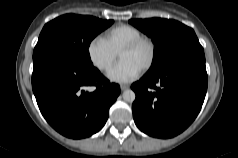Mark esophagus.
Wrapping results in <instances>:
<instances>
[{
	"mask_svg": "<svg viewBox=\"0 0 238 158\" xmlns=\"http://www.w3.org/2000/svg\"><path fill=\"white\" fill-rule=\"evenodd\" d=\"M129 88V85H121L120 86V89L122 90V91H124V90H126V89H128Z\"/></svg>",
	"mask_w": 238,
	"mask_h": 158,
	"instance_id": "1",
	"label": "esophagus"
}]
</instances>
